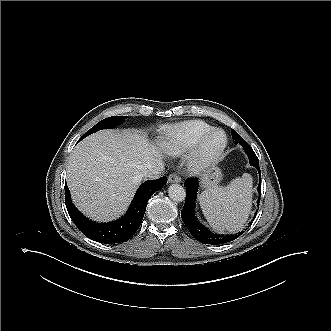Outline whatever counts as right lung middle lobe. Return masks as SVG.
I'll return each instance as SVG.
<instances>
[{"label": "right lung middle lobe", "mask_w": 331, "mask_h": 331, "mask_svg": "<svg viewBox=\"0 0 331 331\" xmlns=\"http://www.w3.org/2000/svg\"><path fill=\"white\" fill-rule=\"evenodd\" d=\"M126 118H127V116H112V117L103 119L102 121L97 123L94 127H92L89 131H87L81 137V139H83L84 137H86V136H88V135H90V134H92V133H94L98 130L113 128V127L123 123Z\"/></svg>", "instance_id": "right-lung-middle-lobe-1"}]
</instances>
